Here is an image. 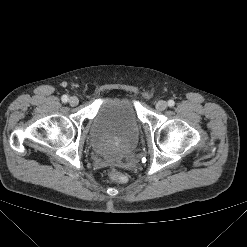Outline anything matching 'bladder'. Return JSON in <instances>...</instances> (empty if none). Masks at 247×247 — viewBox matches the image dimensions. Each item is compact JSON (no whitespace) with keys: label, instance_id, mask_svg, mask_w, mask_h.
Instances as JSON below:
<instances>
[{"label":"bladder","instance_id":"obj_1","mask_svg":"<svg viewBox=\"0 0 247 247\" xmlns=\"http://www.w3.org/2000/svg\"><path fill=\"white\" fill-rule=\"evenodd\" d=\"M140 129L134 102L124 95L103 97L91 122L89 143L103 158L121 161L136 147Z\"/></svg>","mask_w":247,"mask_h":247}]
</instances>
